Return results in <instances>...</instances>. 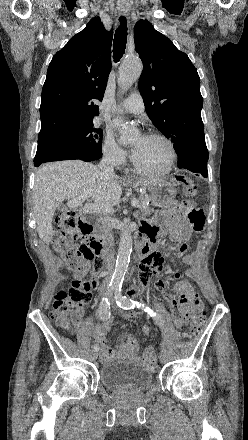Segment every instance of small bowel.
<instances>
[{"mask_svg":"<svg viewBox=\"0 0 248 440\" xmlns=\"http://www.w3.org/2000/svg\"><path fill=\"white\" fill-rule=\"evenodd\" d=\"M143 233L146 240L155 246L158 242L160 232L164 228H170L173 233L183 241L178 246V252L182 253L187 248V242L185 238L190 233L191 229L187 222L181 220L180 210L178 207H171L165 209L163 212L157 214L150 223H144ZM184 263L192 265L195 261V256L186 255L183 258ZM171 259H166L164 262L163 257L159 253H154L151 257H143V266L140 269V285L144 286L148 283L152 272L156 274L155 284H149L146 287L147 292L156 293L161 291V295L168 303L172 312V320L176 327H182L188 320L190 314L200 307L197 294L191 287V285L185 280H179L174 286L175 278L171 277V271L168 270ZM103 267H94L92 275L96 276L97 272H103ZM168 270V271H166ZM166 271V272H165ZM192 271H188L190 274ZM179 279L180 275L176 274ZM96 285V281H94ZM171 283V284H170ZM166 285H169V289L176 291V297L173 298L169 293L164 291ZM75 314L80 318L83 314V308L78 307ZM111 327V320L96 325L93 330V336L96 345L101 347L100 360L102 362H109L120 358H126L132 361L139 360L138 346L134 335H123L115 349L111 348L107 344L106 336L109 333Z\"/></svg>","mask_w":248,"mask_h":440,"instance_id":"1","label":"small bowel"}]
</instances>
